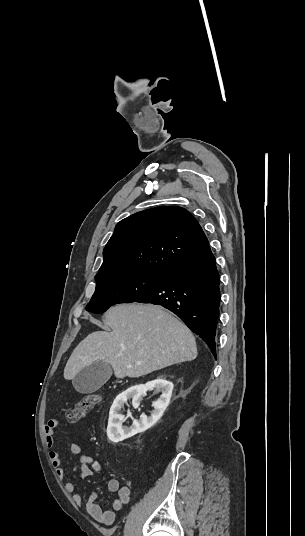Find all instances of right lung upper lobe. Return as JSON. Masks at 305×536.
<instances>
[{
    "label": "right lung upper lobe",
    "mask_w": 305,
    "mask_h": 536,
    "mask_svg": "<svg viewBox=\"0 0 305 536\" xmlns=\"http://www.w3.org/2000/svg\"><path fill=\"white\" fill-rule=\"evenodd\" d=\"M210 253L201 226L186 209L156 207L116 225L95 278H115L131 272L169 273Z\"/></svg>",
    "instance_id": "1"
}]
</instances>
